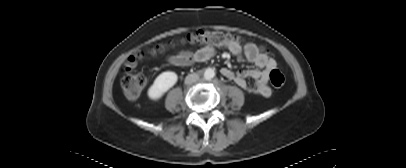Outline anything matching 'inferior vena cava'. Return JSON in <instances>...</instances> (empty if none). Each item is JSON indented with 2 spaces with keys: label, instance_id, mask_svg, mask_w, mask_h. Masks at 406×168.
<instances>
[{
  "label": "inferior vena cava",
  "instance_id": "inferior-vena-cava-1",
  "mask_svg": "<svg viewBox=\"0 0 406 168\" xmlns=\"http://www.w3.org/2000/svg\"><path fill=\"white\" fill-rule=\"evenodd\" d=\"M199 80V75L196 73H192L186 76L185 83L186 84H193Z\"/></svg>",
  "mask_w": 406,
  "mask_h": 168
}]
</instances>
